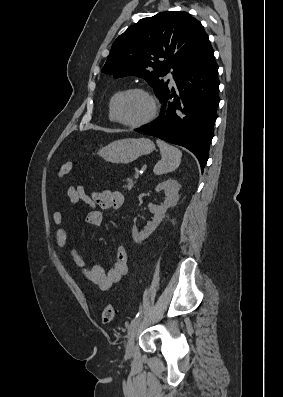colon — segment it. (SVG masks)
<instances>
[{
	"label": "colon",
	"mask_w": 283,
	"mask_h": 397,
	"mask_svg": "<svg viewBox=\"0 0 283 397\" xmlns=\"http://www.w3.org/2000/svg\"><path fill=\"white\" fill-rule=\"evenodd\" d=\"M74 163L73 162H66L63 163L57 172L59 177L66 176L70 174L74 170ZM116 315V310L112 305H106L102 311V321L104 324L111 323Z\"/></svg>",
	"instance_id": "colon-1"
}]
</instances>
